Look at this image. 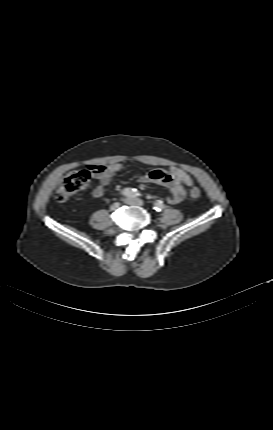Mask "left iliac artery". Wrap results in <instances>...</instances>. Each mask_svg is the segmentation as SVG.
Segmentation results:
<instances>
[{
  "instance_id": "1",
  "label": "left iliac artery",
  "mask_w": 273,
  "mask_h": 430,
  "mask_svg": "<svg viewBox=\"0 0 273 430\" xmlns=\"http://www.w3.org/2000/svg\"><path fill=\"white\" fill-rule=\"evenodd\" d=\"M164 208H165V205L163 204V202H162V201L157 200V201L154 203V209H155L156 211L160 212V211H162Z\"/></svg>"
}]
</instances>
